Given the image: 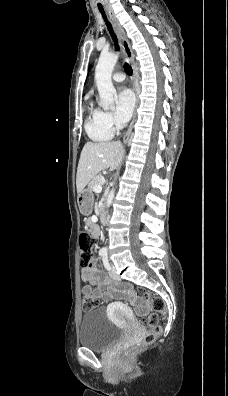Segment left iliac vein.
<instances>
[{"mask_svg": "<svg viewBox=\"0 0 228 396\" xmlns=\"http://www.w3.org/2000/svg\"><path fill=\"white\" fill-rule=\"evenodd\" d=\"M109 275H110V277L112 278V279H114V280H119V276H118V274L116 273V270H115V267L112 265L111 267H110V269H109Z\"/></svg>", "mask_w": 228, "mask_h": 396, "instance_id": "1", "label": "left iliac vein"}]
</instances>
